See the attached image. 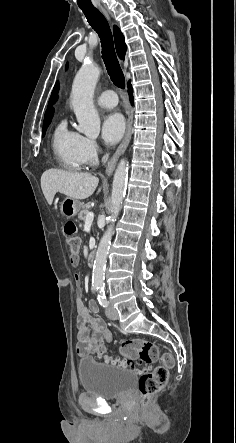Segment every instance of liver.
<instances>
[{
  "label": "liver",
  "mask_w": 236,
  "mask_h": 443,
  "mask_svg": "<svg viewBox=\"0 0 236 443\" xmlns=\"http://www.w3.org/2000/svg\"><path fill=\"white\" fill-rule=\"evenodd\" d=\"M99 179L90 173L46 170L41 176L42 192L49 205L60 192L70 198L83 200L90 197L98 186ZM101 189L98 190V193Z\"/></svg>",
  "instance_id": "6515ba94"
}]
</instances>
